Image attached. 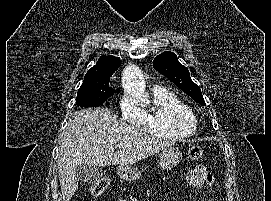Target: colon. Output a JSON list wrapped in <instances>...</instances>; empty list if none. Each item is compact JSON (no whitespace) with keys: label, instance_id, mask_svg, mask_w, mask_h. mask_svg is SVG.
<instances>
[{"label":"colon","instance_id":"5ec220e1","mask_svg":"<svg viewBox=\"0 0 271 201\" xmlns=\"http://www.w3.org/2000/svg\"><path fill=\"white\" fill-rule=\"evenodd\" d=\"M204 149L202 146L196 145L189 149L188 156L191 160L196 161L203 157ZM109 181L107 178H100L91 185V194L93 197L101 196L108 188Z\"/></svg>","mask_w":271,"mask_h":201}]
</instances>
